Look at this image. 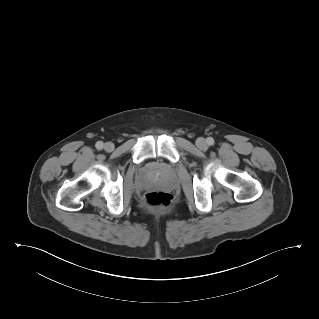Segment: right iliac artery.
Returning <instances> with one entry per match:
<instances>
[{
  "mask_svg": "<svg viewBox=\"0 0 319 319\" xmlns=\"http://www.w3.org/2000/svg\"><path fill=\"white\" fill-rule=\"evenodd\" d=\"M96 148L97 149H102L103 148V142H101V141H98L97 143H96Z\"/></svg>",
  "mask_w": 319,
  "mask_h": 319,
  "instance_id": "obj_1",
  "label": "right iliac artery"
}]
</instances>
